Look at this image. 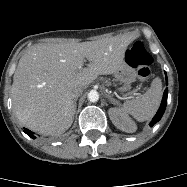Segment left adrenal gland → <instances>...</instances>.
Instances as JSON below:
<instances>
[{
	"label": "left adrenal gland",
	"instance_id": "1",
	"mask_svg": "<svg viewBox=\"0 0 187 187\" xmlns=\"http://www.w3.org/2000/svg\"><path fill=\"white\" fill-rule=\"evenodd\" d=\"M105 96H106V98L108 99V101L110 103H112V104H116L117 103V101L114 98H112L110 95L105 94Z\"/></svg>",
	"mask_w": 187,
	"mask_h": 187
}]
</instances>
